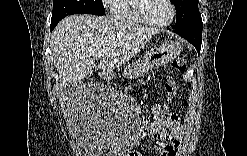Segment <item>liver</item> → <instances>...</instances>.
Instances as JSON below:
<instances>
[{"label": "liver", "mask_w": 247, "mask_h": 156, "mask_svg": "<svg viewBox=\"0 0 247 156\" xmlns=\"http://www.w3.org/2000/svg\"><path fill=\"white\" fill-rule=\"evenodd\" d=\"M160 30L107 16L71 15L52 33V58L60 86L77 84L97 69L111 72L134 57ZM100 59L98 65L95 61ZM74 109V107H71Z\"/></svg>", "instance_id": "liver-1"}]
</instances>
